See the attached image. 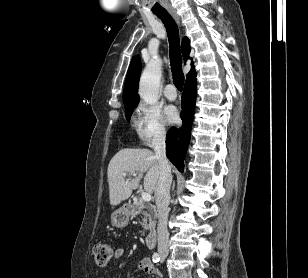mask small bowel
<instances>
[{
	"label": "small bowel",
	"instance_id": "obj_1",
	"mask_svg": "<svg viewBox=\"0 0 308 278\" xmlns=\"http://www.w3.org/2000/svg\"><path fill=\"white\" fill-rule=\"evenodd\" d=\"M125 255V250L123 248H117L113 252L114 259H120ZM144 272L146 274H149L153 278H161V273L159 270L153 265L152 261L149 258H144L140 261L137 269L131 271L128 273L127 278H134V275L137 272Z\"/></svg>",
	"mask_w": 308,
	"mask_h": 278
}]
</instances>
